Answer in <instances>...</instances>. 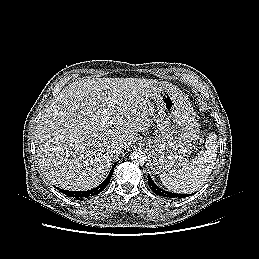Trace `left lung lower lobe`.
I'll return each mask as SVG.
<instances>
[{"label": "left lung lower lobe", "mask_w": 259, "mask_h": 259, "mask_svg": "<svg viewBox=\"0 0 259 259\" xmlns=\"http://www.w3.org/2000/svg\"><path fill=\"white\" fill-rule=\"evenodd\" d=\"M148 185L150 187V189L157 195L159 196H163V197H169V198H183V197H188V194H177V193H172V192H168L165 191L161 188H159L152 180V178L150 177V175H148Z\"/></svg>", "instance_id": "left-lung-lower-lobe-1"}]
</instances>
